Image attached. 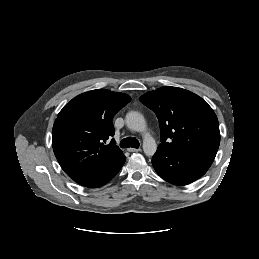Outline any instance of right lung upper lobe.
<instances>
[{"label":"right lung upper lobe","instance_id":"cb5924a9","mask_svg":"<svg viewBox=\"0 0 259 259\" xmlns=\"http://www.w3.org/2000/svg\"><path fill=\"white\" fill-rule=\"evenodd\" d=\"M130 96L106 89L92 90L73 98L58 114L52 132L54 154L68 174L89 173L123 153L112 139V119Z\"/></svg>","mask_w":259,"mask_h":259}]
</instances>
